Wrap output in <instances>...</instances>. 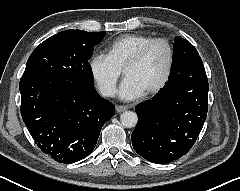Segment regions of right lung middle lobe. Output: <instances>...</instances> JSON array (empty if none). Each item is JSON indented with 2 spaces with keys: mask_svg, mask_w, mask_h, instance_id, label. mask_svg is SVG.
I'll list each match as a JSON object with an SVG mask.
<instances>
[{
  "mask_svg": "<svg viewBox=\"0 0 240 191\" xmlns=\"http://www.w3.org/2000/svg\"><path fill=\"white\" fill-rule=\"evenodd\" d=\"M105 32L65 30L46 39L30 55L22 78L56 77L91 87L93 75L88 63L93 47Z\"/></svg>",
  "mask_w": 240,
  "mask_h": 191,
  "instance_id": "dd1d6c3e",
  "label": "right lung middle lobe"
}]
</instances>
